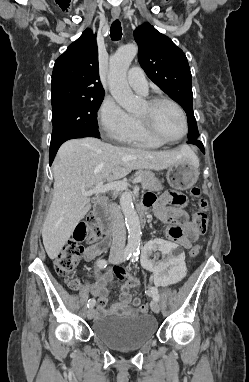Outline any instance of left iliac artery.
<instances>
[{"label":"left iliac artery","mask_w":249,"mask_h":382,"mask_svg":"<svg viewBox=\"0 0 249 382\" xmlns=\"http://www.w3.org/2000/svg\"><path fill=\"white\" fill-rule=\"evenodd\" d=\"M138 255H139V252H136V251L133 252V256H132V260H131V261H132V262L137 261V260H138ZM148 293H150V294L152 295L154 301H156V302L159 301L160 296H159V293H158V290H157L156 287H152V288L148 291Z\"/></svg>","instance_id":"1"}]
</instances>
